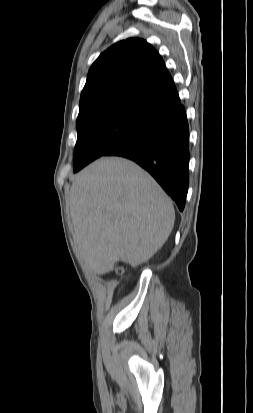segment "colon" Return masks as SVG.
Masks as SVG:
<instances>
[{"label": "colon", "instance_id": "5ec220e1", "mask_svg": "<svg viewBox=\"0 0 253 413\" xmlns=\"http://www.w3.org/2000/svg\"><path fill=\"white\" fill-rule=\"evenodd\" d=\"M117 272H118V273H122V272H123V268H119V269L117 270Z\"/></svg>", "mask_w": 253, "mask_h": 413}]
</instances>
